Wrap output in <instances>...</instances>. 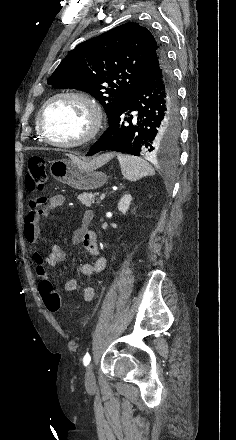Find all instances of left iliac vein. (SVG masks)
Here are the masks:
<instances>
[{"label": "left iliac vein", "mask_w": 236, "mask_h": 440, "mask_svg": "<svg viewBox=\"0 0 236 440\" xmlns=\"http://www.w3.org/2000/svg\"><path fill=\"white\" fill-rule=\"evenodd\" d=\"M93 369L94 365L93 363H90L85 371V387L87 390H93L96 386Z\"/></svg>", "instance_id": "1"}]
</instances>
